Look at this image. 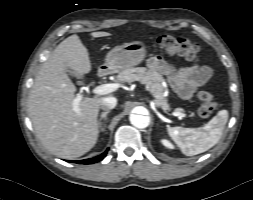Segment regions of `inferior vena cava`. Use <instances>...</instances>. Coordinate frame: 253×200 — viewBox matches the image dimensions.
I'll use <instances>...</instances> for the list:
<instances>
[{
  "mask_svg": "<svg viewBox=\"0 0 253 200\" xmlns=\"http://www.w3.org/2000/svg\"><path fill=\"white\" fill-rule=\"evenodd\" d=\"M117 104V99L115 97H105L102 99L101 108L103 110L113 109Z\"/></svg>",
  "mask_w": 253,
  "mask_h": 200,
  "instance_id": "602c4592",
  "label": "inferior vena cava"
}]
</instances>
